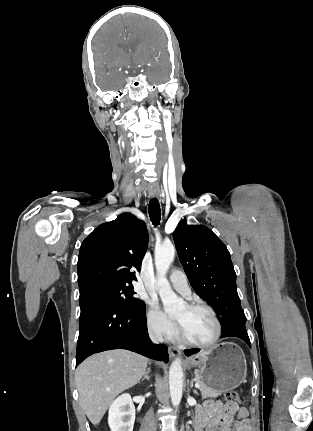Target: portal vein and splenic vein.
<instances>
[{
    "label": "portal vein and splenic vein",
    "instance_id": "18ae733b",
    "mask_svg": "<svg viewBox=\"0 0 313 431\" xmlns=\"http://www.w3.org/2000/svg\"><path fill=\"white\" fill-rule=\"evenodd\" d=\"M195 387H196V388H199V387H200V383L196 382V383H195Z\"/></svg>",
    "mask_w": 313,
    "mask_h": 431
}]
</instances>
